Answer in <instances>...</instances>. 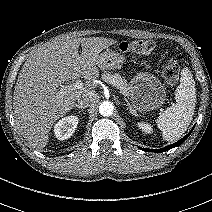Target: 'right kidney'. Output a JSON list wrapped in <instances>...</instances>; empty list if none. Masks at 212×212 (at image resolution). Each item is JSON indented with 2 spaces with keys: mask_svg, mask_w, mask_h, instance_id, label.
I'll list each match as a JSON object with an SVG mask.
<instances>
[{
  "mask_svg": "<svg viewBox=\"0 0 212 212\" xmlns=\"http://www.w3.org/2000/svg\"><path fill=\"white\" fill-rule=\"evenodd\" d=\"M78 121V117L73 115L62 118L54 126V133L56 138L59 140L70 138L78 125Z\"/></svg>",
  "mask_w": 212,
  "mask_h": 212,
  "instance_id": "obj_1",
  "label": "right kidney"
}]
</instances>
